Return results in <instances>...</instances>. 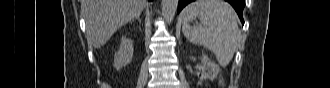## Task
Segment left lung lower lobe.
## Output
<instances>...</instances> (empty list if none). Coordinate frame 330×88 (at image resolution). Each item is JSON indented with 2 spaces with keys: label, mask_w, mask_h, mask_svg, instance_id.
<instances>
[{
  "label": "left lung lower lobe",
  "mask_w": 330,
  "mask_h": 88,
  "mask_svg": "<svg viewBox=\"0 0 330 88\" xmlns=\"http://www.w3.org/2000/svg\"><path fill=\"white\" fill-rule=\"evenodd\" d=\"M194 0H179L178 3V13L190 2H193ZM228 3H230L233 8L236 10L242 24H244V20H243V8L244 5L243 3H245V0H225Z\"/></svg>",
  "instance_id": "0a47b994"
}]
</instances>
